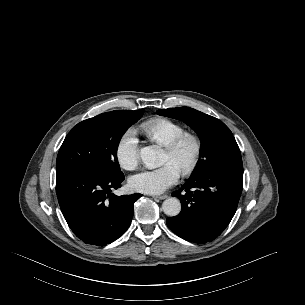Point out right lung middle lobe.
I'll list each match as a JSON object with an SVG mask.
<instances>
[{
    "label": "right lung middle lobe",
    "instance_id": "right-lung-middle-lobe-1",
    "mask_svg": "<svg viewBox=\"0 0 305 305\" xmlns=\"http://www.w3.org/2000/svg\"><path fill=\"white\" fill-rule=\"evenodd\" d=\"M142 114L143 109L116 110L78 123L59 150L56 172L82 171L101 177L121 174L116 154L118 143Z\"/></svg>",
    "mask_w": 305,
    "mask_h": 305
}]
</instances>
